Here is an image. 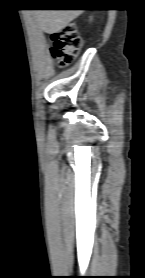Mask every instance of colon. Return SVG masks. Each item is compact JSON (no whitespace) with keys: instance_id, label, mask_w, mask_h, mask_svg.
Wrapping results in <instances>:
<instances>
[{"instance_id":"obj_1","label":"colon","mask_w":145,"mask_h":278,"mask_svg":"<svg viewBox=\"0 0 145 278\" xmlns=\"http://www.w3.org/2000/svg\"><path fill=\"white\" fill-rule=\"evenodd\" d=\"M50 40L53 44L51 52L59 67L74 63L81 46V38L73 23L51 32Z\"/></svg>"}]
</instances>
